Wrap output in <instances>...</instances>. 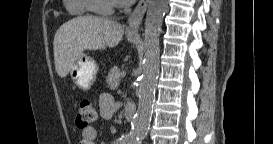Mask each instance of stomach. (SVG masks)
Wrapping results in <instances>:
<instances>
[{"label": "stomach", "instance_id": "obj_1", "mask_svg": "<svg viewBox=\"0 0 273 144\" xmlns=\"http://www.w3.org/2000/svg\"><path fill=\"white\" fill-rule=\"evenodd\" d=\"M128 41L135 43L136 38L128 37ZM98 69L99 67L92 57L88 54L81 53L73 63L69 72L73 82L80 89L89 90L96 80Z\"/></svg>", "mask_w": 273, "mask_h": 144}]
</instances>
